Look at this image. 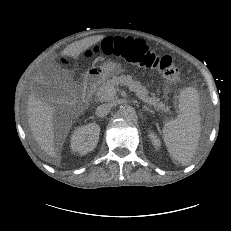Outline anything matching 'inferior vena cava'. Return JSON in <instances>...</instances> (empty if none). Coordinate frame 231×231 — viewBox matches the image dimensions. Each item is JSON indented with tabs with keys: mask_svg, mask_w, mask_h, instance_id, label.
<instances>
[{
	"mask_svg": "<svg viewBox=\"0 0 231 231\" xmlns=\"http://www.w3.org/2000/svg\"><path fill=\"white\" fill-rule=\"evenodd\" d=\"M111 110V106L110 104H102V105H99L97 108H96V115L98 117H104L106 116Z\"/></svg>",
	"mask_w": 231,
	"mask_h": 231,
	"instance_id": "obj_1",
	"label": "inferior vena cava"
}]
</instances>
